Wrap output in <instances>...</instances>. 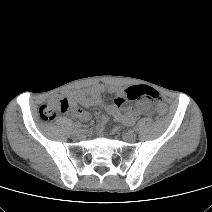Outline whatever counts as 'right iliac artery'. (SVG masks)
Returning <instances> with one entry per match:
<instances>
[{
	"instance_id": "1",
	"label": "right iliac artery",
	"mask_w": 212,
	"mask_h": 212,
	"mask_svg": "<svg viewBox=\"0 0 212 212\" xmlns=\"http://www.w3.org/2000/svg\"><path fill=\"white\" fill-rule=\"evenodd\" d=\"M73 127H74L75 129H79V128L82 127V124H81L80 122H75V123L73 124Z\"/></svg>"
}]
</instances>
